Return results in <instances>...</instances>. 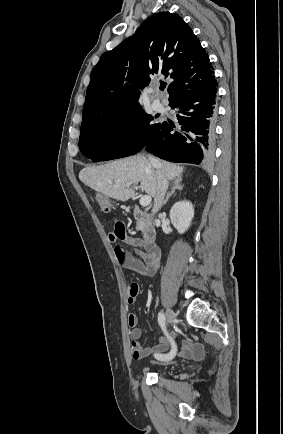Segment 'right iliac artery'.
Returning <instances> with one entry per match:
<instances>
[{
    "label": "right iliac artery",
    "instance_id": "obj_1",
    "mask_svg": "<svg viewBox=\"0 0 283 434\" xmlns=\"http://www.w3.org/2000/svg\"><path fill=\"white\" fill-rule=\"evenodd\" d=\"M158 322L162 328V330L164 331V334L168 336V332L166 330V318H165V314L163 312H159L158 314ZM175 356V352L173 351L170 354L167 355H159V356H155L156 359L160 360V361H169L171 359H173Z\"/></svg>",
    "mask_w": 283,
    "mask_h": 434
}]
</instances>
